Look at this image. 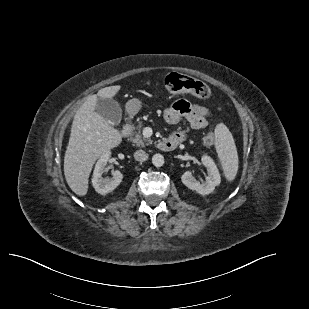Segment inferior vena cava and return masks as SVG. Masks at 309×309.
<instances>
[{
  "mask_svg": "<svg viewBox=\"0 0 309 309\" xmlns=\"http://www.w3.org/2000/svg\"><path fill=\"white\" fill-rule=\"evenodd\" d=\"M134 158L137 161L143 162V161H146L148 159V154L143 150H137L134 153Z\"/></svg>",
  "mask_w": 309,
  "mask_h": 309,
  "instance_id": "inferior-vena-cava-1",
  "label": "inferior vena cava"
}]
</instances>
